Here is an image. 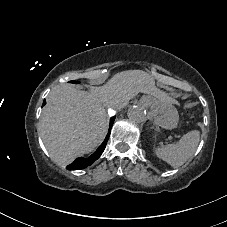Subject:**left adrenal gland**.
I'll list each match as a JSON object with an SVG mask.
<instances>
[{"instance_id": "1", "label": "left adrenal gland", "mask_w": 227, "mask_h": 227, "mask_svg": "<svg viewBox=\"0 0 227 227\" xmlns=\"http://www.w3.org/2000/svg\"><path fill=\"white\" fill-rule=\"evenodd\" d=\"M152 128L155 129L158 132L160 131V128L158 126H156V127L155 126H152Z\"/></svg>"}]
</instances>
